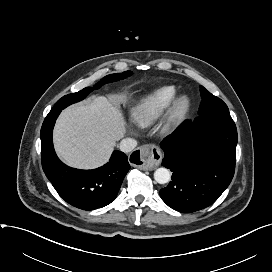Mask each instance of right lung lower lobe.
Returning <instances> with one entry per match:
<instances>
[{
  "instance_id": "obj_1",
  "label": "right lung lower lobe",
  "mask_w": 272,
  "mask_h": 272,
  "mask_svg": "<svg viewBox=\"0 0 272 272\" xmlns=\"http://www.w3.org/2000/svg\"><path fill=\"white\" fill-rule=\"evenodd\" d=\"M62 109L51 111L41 128V160L43 171L58 194L69 204L93 210L110 204L117 196L130 169L127 156L114 151L109 162L93 170H79L62 163L53 147L52 132Z\"/></svg>"
}]
</instances>
